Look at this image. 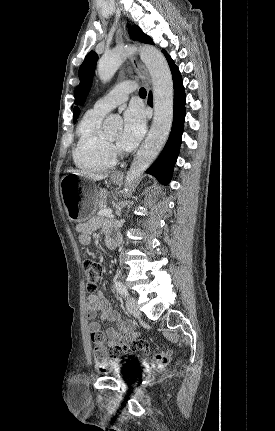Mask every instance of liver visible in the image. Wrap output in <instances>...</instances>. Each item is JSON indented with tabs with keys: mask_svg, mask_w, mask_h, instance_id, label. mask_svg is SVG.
Here are the masks:
<instances>
[{
	"mask_svg": "<svg viewBox=\"0 0 275 431\" xmlns=\"http://www.w3.org/2000/svg\"><path fill=\"white\" fill-rule=\"evenodd\" d=\"M70 173L77 174L79 176H86L94 181H99L107 178L108 174H94V173H88L84 171H75V170H69Z\"/></svg>",
	"mask_w": 275,
	"mask_h": 431,
	"instance_id": "liver-1",
	"label": "liver"
}]
</instances>
